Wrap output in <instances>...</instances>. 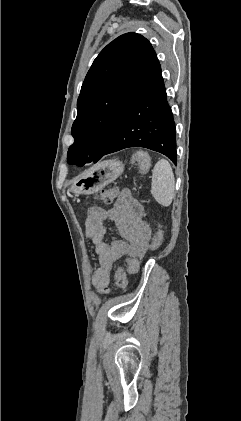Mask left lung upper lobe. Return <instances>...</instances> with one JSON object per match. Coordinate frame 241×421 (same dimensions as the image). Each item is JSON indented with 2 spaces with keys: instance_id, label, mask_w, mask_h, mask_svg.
<instances>
[{
  "instance_id": "5c2ea615",
  "label": "left lung upper lobe",
  "mask_w": 241,
  "mask_h": 421,
  "mask_svg": "<svg viewBox=\"0 0 241 421\" xmlns=\"http://www.w3.org/2000/svg\"><path fill=\"white\" fill-rule=\"evenodd\" d=\"M153 52L149 41L136 33L119 36L100 52L77 101L68 164L98 161L104 155Z\"/></svg>"
}]
</instances>
